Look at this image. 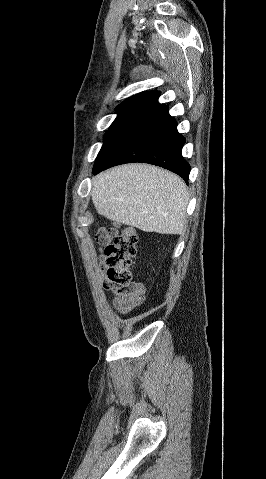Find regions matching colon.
I'll return each instance as SVG.
<instances>
[{
	"instance_id": "colon-1",
	"label": "colon",
	"mask_w": 266,
	"mask_h": 479,
	"mask_svg": "<svg viewBox=\"0 0 266 479\" xmlns=\"http://www.w3.org/2000/svg\"><path fill=\"white\" fill-rule=\"evenodd\" d=\"M99 241L105 246L102 255L108 267L107 278L115 291L128 290L132 285V264L137 254V234L131 227H125L120 233L101 229Z\"/></svg>"
}]
</instances>
